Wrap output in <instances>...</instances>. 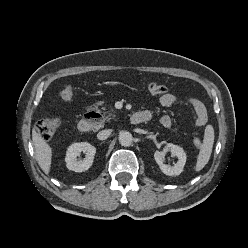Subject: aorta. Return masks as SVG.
I'll use <instances>...</instances> for the list:
<instances>
[{
    "label": "aorta",
    "mask_w": 248,
    "mask_h": 248,
    "mask_svg": "<svg viewBox=\"0 0 248 248\" xmlns=\"http://www.w3.org/2000/svg\"><path fill=\"white\" fill-rule=\"evenodd\" d=\"M118 138L119 143L124 147H129L133 143V136L128 131H121Z\"/></svg>",
    "instance_id": "aorta-1"
}]
</instances>
